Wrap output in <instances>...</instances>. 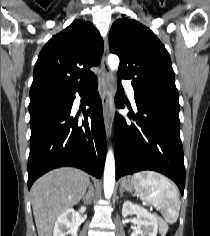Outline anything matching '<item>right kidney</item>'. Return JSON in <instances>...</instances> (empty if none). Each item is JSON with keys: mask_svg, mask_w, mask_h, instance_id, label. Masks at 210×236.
<instances>
[{"mask_svg": "<svg viewBox=\"0 0 210 236\" xmlns=\"http://www.w3.org/2000/svg\"><path fill=\"white\" fill-rule=\"evenodd\" d=\"M86 208L81 207L80 211L84 212ZM76 212L72 208L64 211L56 220L54 225L53 236H77V228L75 226Z\"/></svg>", "mask_w": 210, "mask_h": 236, "instance_id": "1", "label": "right kidney"}]
</instances>
